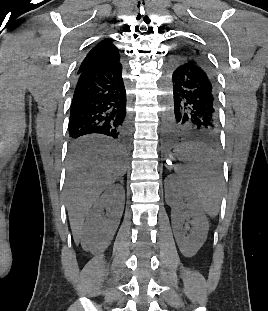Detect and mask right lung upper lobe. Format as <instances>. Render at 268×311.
Segmentation results:
<instances>
[{
  "instance_id": "cb5924a9",
  "label": "right lung upper lobe",
  "mask_w": 268,
  "mask_h": 311,
  "mask_svg": "<svg viewBox=\"0 0 268 311\" xmlns=\"http://www.w3.org/2000/svg\"><path fill=\"white\" fill-rule=\"evenodd\" d=\"M121 63L118 48L112 39H104L93 47L80 65L78 72L109 68Z\"/></svg>"
}]
</instances>
